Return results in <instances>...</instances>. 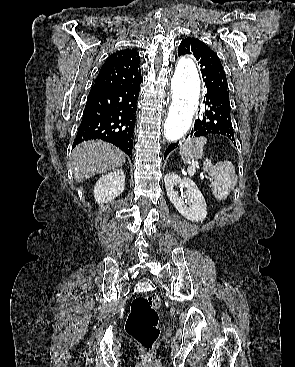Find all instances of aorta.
<instances>
[{"label":"aorta","mask_w":295,"mask_h":367,"mask_svg":"<svg viewBox=\"0 0 295 367\" xmlns=\"http://www.w3.org/2000/svg\"><path fill=\"white\" fill-rule=\"evenodd\" d=\"M172 103L164 123V136L178 141L191 127L200 94V78L194 61L182 57L171 80Z\"/></svg>","instance_id":"1"}]
</instances>
